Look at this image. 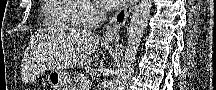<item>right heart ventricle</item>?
Listing matches in <instances>:
<instances>
[{
	"label": "right heart ventricle",
	"mask_w": 216,
	"mask_h": 90,
	"mask_svg": "<svg viewBox=\"0 0 216 90\" xmlns=\"http://www.w3.org/2000/svg\"><path fill=\"white\" fill-rule=\"evenodd\" d=\"M46 6L42 7L40 19L46 28H86L83 19H76L85 11L84 4H76L75 0H44Z\"/></svg>",
	"instance_id": "1"
}]
</instances>
